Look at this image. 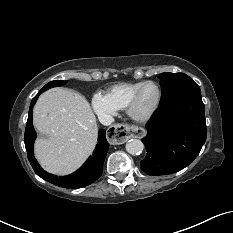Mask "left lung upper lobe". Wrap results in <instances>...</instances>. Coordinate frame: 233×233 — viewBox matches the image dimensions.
<instances>
[{
  "label": "left lung upper lobe",
  "instance_id": "5c2ea615",
  "mask_svg": "<svg viewBox=\"0 0 233 233\" xmlns=\"http://www.w3.org/2000/svg\"><path fill=\"white\" fill-rule=\"evenodd\" d=\"M158 78L162 87L160 105L187 93L201 92L199 86L184 73L166 72L158 76Z\"/></svg>",
  "mask_w": 233,
  "mask_h": 233
}]
</instances>
